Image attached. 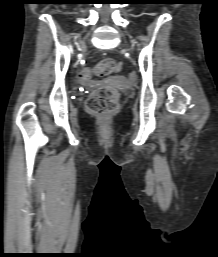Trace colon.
<instances>
[{"instance_id": "1", "label": "colon", "mask_w": 218, "mask_h": 257, "mask_svg": "<svg viewBox=\"0 0 218 257\" xmlns=\"http://www.w3.org/2000/svg\"><path fill=\"white\" fill-rule=\"evenodd\" d=\"M164 5L166 6L167 4L165 3ZM122 65V61L107 58L99 62L93 69L89 67L79 68L77 72L78 84L83 85V87H92L93 83L89 81L92 80L94 75L106 76L114 72H119ZM135 78V74H128V79ZM86 107L91 114L106 118L117 111L119 107V94L117 90L111 87H99L87 98Z\"/></svg>"}]
</instances>
